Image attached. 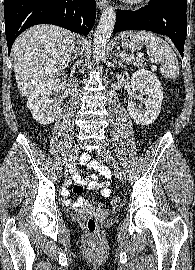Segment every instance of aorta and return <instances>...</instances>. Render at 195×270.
I'll use <instances>...</instances> for the list:
<instances>
[{"mask_svg": "<svg viewBox=\"0 0 195 270\" xmlns=\"http://www.w3.org/2000/svg\"><path fill=\"white\" fill-rule=\"evenodd\" d=\"M115 22H116L115 10L112 7L105 8L100 17L99 23L97 25V28L94 34V40H93L94 56L93 57L96 62L104 57L106 45L113 32Z\"/></svg>", "mask_w": 195, "mask_h": 270, "instance_id": "aorta-1", "label": "aorta"}]
</instances>
